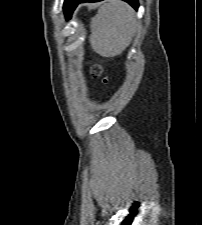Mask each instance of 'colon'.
<instances>
[{
    "label": "colon",
    "instance_id": "colon-1",
    "mask_svg": "<svg viewBox=\"0 0 202 225\" xmlns=\"http://www.w3.org/2000/svg\"><path fill=\"white\" fill-rule=\"evenodd\" d=\"M92 73L96 76L100 75L101 74V69L99 66H94L92 68ZM105 81L108 82L109 81V77H105Z\"/></svg>",
    "mask_w": 202,
    "mask_h": 225
}]
</instances>
